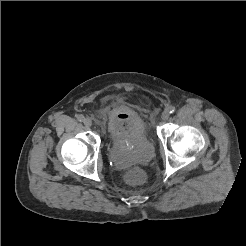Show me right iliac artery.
<instances>
[{"label": "right iliac artery", "instance_id": "82829eb1", "mask_svg": "<svg viewBox=\"0 0 246 246\" xmlns=\"http://www.w3.org/2000/svg\"><path fill=\"white\" fill-rule=\"evenodd\" d=\"M77 119H78L79 121H83V120H84V116H83L82 114H79V115L77 116Z\"/></svg>", "mask_w": 246, "mask_h": 246}]
</instances>
